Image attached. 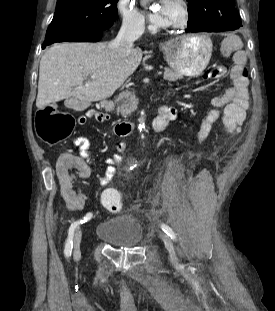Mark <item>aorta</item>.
<instances>
[{
    "mask_svg": "<svg viewBox=\"0 0 275 311\" xmlns=\"http://www.w3.org/2000/svg\"><path fill=\"white\" fill-rule=\"evenodd\" d=\"M149 0H141V5H145ZM145 128V122H144V112H141V117L139 118V125L138 129L142 131Z\"/></svg>",
    "mask_w": 275,
    "mask_h": 311,
    "instance_id": "1",
    "label": "aorta"
}]
</instances>
